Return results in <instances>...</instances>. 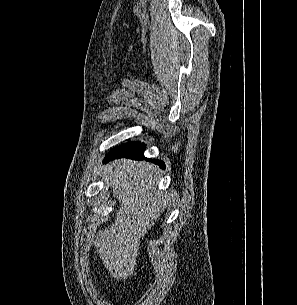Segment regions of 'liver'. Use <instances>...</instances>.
Instances as JSON below:
<instances>
[{
  "instance_id": "liver-1",
  "label": "liver",
  "mask_w": 297,
  "mask_h": 305,
  "mask_svg": "<svg viewBox=\"0 0 297 305\" xmlns=\"http://www.w3.org/2000/svg\"><path fill=\"white\" fill-rule=\"evenodd\" d=\"M109 172L120 207L115 223L97 233L95 247L110 275L125 280L134 274L140 239L160 217L165 199L155 191L156 165L122 159L113 162Z\"/></svg>"
}]
</instances>
